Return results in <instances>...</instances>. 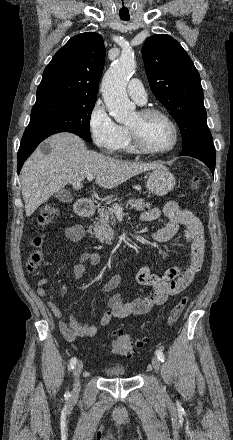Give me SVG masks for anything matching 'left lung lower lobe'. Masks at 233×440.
Instances as JSON below:
<instances>
[{
  "label": "left lung lower lobe",
  "instance_id": "0a47b994",
  "mask_svg": "<svg viewBox=\"0 0 233 440\" xmlns=\"http://www.w3.org/2000/svg\"><path fill=\"white\" fill-rule=\"evenodd\" d=\"M179 156H191L204 162L214 174L216 163V152L212 141H207L187 149H184Z\"/></svg>",
  "mask_w": 233,
  "mask_h": 440
}]
</instances>
